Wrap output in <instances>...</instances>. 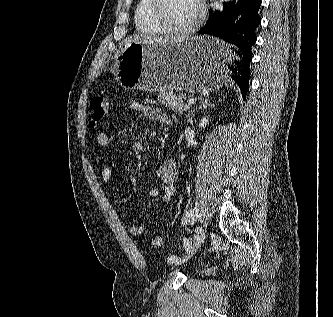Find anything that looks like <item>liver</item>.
Wrapping results in <instances>:
<instances>
[{
	"instance_id": "6515ba94",
	"label": "liver",
	"mask_w": 333,
	"mask_h": 317,
	"mask_svg": "<svg viewBox=\"0 0 333 317\" xmlns=\"http://www.w3.org/2000/svg\"><path fill=\"white\" fill-rule=\"evenodd\" d=\"M189 39V37H173V36H166V37H151L146 35H133L125 39L123 43L127 42H159V43H176L180 44L184 41Z\"/></svg>"
}]
</instances>
